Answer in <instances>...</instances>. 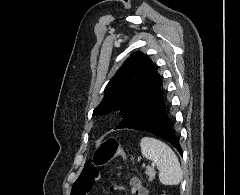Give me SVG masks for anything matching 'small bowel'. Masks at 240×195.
I'll return each mask as SVG.
<instances>
[{"label":"small bowel","mask_w":240,"mask_h":195,"mask_svg":"<svg viewBox=\"0 0 240 195\" xmlns=\"http://www.w3.org/2000/svg\"><path fill=\"white\" fill-rule=\"evenodd\" d=\"M130 192L132 195H149V191L146 187L143 186L140 178L132 177L130 179ZM117 192H123L124 188L121 186H115Z\"/></svg>","instance_id":"c3829d8e"}]
</instances>
